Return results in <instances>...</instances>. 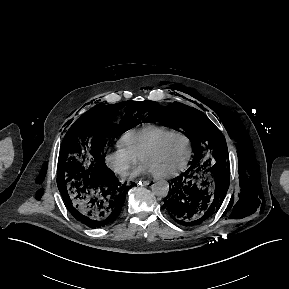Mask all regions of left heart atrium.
I'll use <instances>...</instances> for the list:
<instances>
[{
	"mask_svg": "<svg viewBox=\"0 0 289 289\" xmlns=\"http://www.w3.org/2000/svg\"><path fill=\"white\" fill-rule=\"evenodd\" d=\"M150 172H152L150 167L147 164L143 163L132 173V177H135L139 174L150 173Z\"/></svg>",
	"mask_w": 289,
	"mask_h": 289,
	"instance_id": "1",
	"label": "left heart atrium"
}]
</instances>
